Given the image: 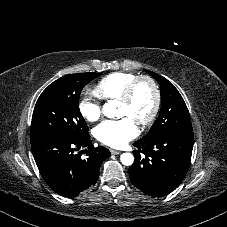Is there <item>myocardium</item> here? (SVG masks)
Wrapping results in <instances>:
<instances>
[{"mask_svg": "<svg viewBox=\"0 0 227 227\" xmlns=\"http://www.w3.org/2000/svg\"><path fill=\"white\" fill-rule=\"evenodd\" d=\"M142 82H146L151 86V88L153 90V95H154V101H153V106H152L151 111L144 119H142L138 123L140 126H146V125L150 124L156 118L159 108H160V104H161V92H160L158 84L152 77L147 76V75L137 76L126 87L123 94L121 95V97L118 100L120 103H123V104L131 103V101L134 98L137 87Z\"/></svg>", "mask_w": 227, "mask_h": 227, "instance_id": "myocardium-1", "label": "myocardium"}]
</instances>
